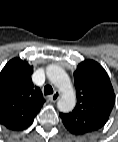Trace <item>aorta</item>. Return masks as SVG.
I'll return each instance as SVG.
<instances>
[{
  "mask_svg": "<svg viewBox=\"0 0 118 142\" xmlns=\"http://www.w3.org/2000/svg\"><path fill=\"white\" fill-rule=\"evenodd\" d=\"M48 79L60 90L61 97L57 102L59 111L71 112L76 105V95L67 73L57 65H49L46 69Z\"/></svg>",
  "mask_w": 118,
  "mask_h": 142,
  "instance_id": "762f6f07",
  "label": "aorta"
}]
</instances>
